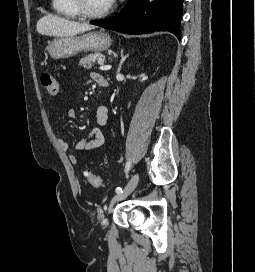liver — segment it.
Listing matches in <instances>:
<instances>
[{"label":"liver","mask_w":255,"mask_h":272,"mask_svg":"<svg viewBox=\"0 0 255 272\" xmlns=\"http://www.w3.org/2000/svg\"><path fill=\"white\" fill-rule=\"evenodd\" d=\"M94 27V25L87 23L70 21L56 15L47 14L39 19L36 25V30L42 35L64 37L74 36L78 33L94 29Z\"/></svg>","instance_id":"6515ba94"}]
</instances>
